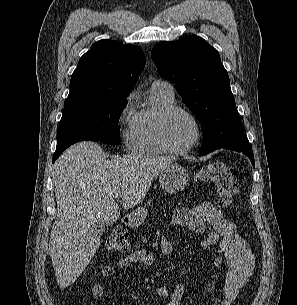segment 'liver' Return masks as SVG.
<instances>
[{
	"label": "liver",
	"mask_w": 297,
	"mask_h": 305,
	"mask_svg": "<svg viewBox=\"0 0 297 305\" xmlns=\"http://www.w3.org/2000/svg\"><path fill=\"white\" fill-rule=\"evenodd\" d=\"M173 160L143 154L106 159L102 148L93 142L77 143L57 159L53 178L58 212L49 255L60 288L77 280L98 249L100 239L93 236V225H112L119 218L115 194L122 195L124 209L135 207Z\"/></svg>",
	"instance_id": "liver-1"
}]
</instances>
